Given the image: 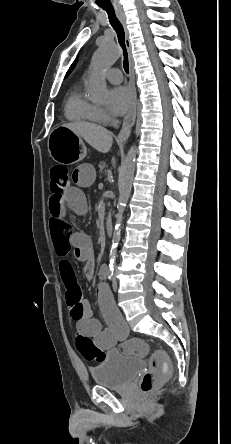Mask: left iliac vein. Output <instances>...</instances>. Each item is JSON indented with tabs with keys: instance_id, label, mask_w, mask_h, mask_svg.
<instances>
[{
	"instance_id": "1",
	"label": "left iliac vein",
	"mask_w": 231,
	"mask_h": 444,
	"mask_svg": "<svg viewBox=\"0 0 231 444\" xmlns=\"http://www.w3.org/2000/svg\"><path fill=\"white\" fill-rule=\"evenodd\" d=\"M117 281L114 279L113 280V289L116 291L117 290Z\"/></svg>"
}]
</instances>
